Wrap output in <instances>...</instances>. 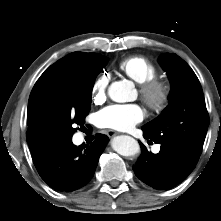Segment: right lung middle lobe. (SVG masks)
<instances>
[{"label": "right lung middle lobe", "instance_id": "obj_1", "mask_svg": "<svg viewBox=\"0 0 221 221\" xmlns=\"http://www.w3.org/2000/svg\"><path fill=\"white\" fill-rule=\"evenodd\" d=\"M107 57L98 56L66 69L33 96L27 112V142L31 152L72 140L91 107L92 89Z\"/></svg>", "mask_w": 221, "mask_h": 221}]
</instances>
